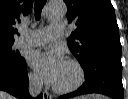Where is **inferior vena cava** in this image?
Masks as SVG:
<instances>
[{"mask_svg":"<svg viewBox=\"0 0 128 99\" xmlns=\"http://www.w3.org/2000/svg\"><path fill=\"white\" fill-rule=\"evenodd\" d=\"M43 86V81L37 77H30L29 79V93L31 96L36 97L40 94Z\"/></svg>","mask_w":128,"mask_h":99,"instance_id":"602c4592","label":"inferior vena cava"}]
</instances>
